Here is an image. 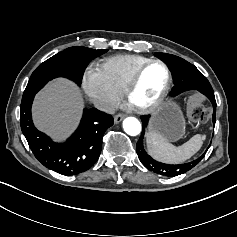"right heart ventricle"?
<instances>
[{"label":"right heart ventricle","instance_id":"e07e8e85","mask_svg":"<svg viewBox=\"0 0 237 237\" xmlns=\"http://www.w3.org/2000/svg\"><path fill=\"white\" fill-rule=\"evenodd\" d=\"M150 59L140 55H115L101 63L113 86L123 94L137 70Z\"/></svg>","mask_w":237,"mask_h":237}]
</instances>
